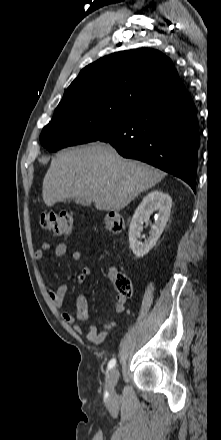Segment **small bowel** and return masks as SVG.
Here are the masks:
<instances>
[{
	"label": "small bowel",
	"mask_w": 221,
	"mask_h": 440,
	"mask_svg": "<svg viewBox=\"0 0 221 440\" xmlns=\"http://www.w3.org/2000/svg\"><path fill=\"white\" fill-rule=\"evenodd\" d=\"M51 249V244L45 242L42 247L35 251V260L40 262L43 260L45 252ZM55 255L59 258L63 257L67 252V244L60 242L55 247ZM72 259L75 262H81L83 260V254L79 250H75L72 253ZM90 275V269L88 267H82L78 277V284L84 283ZM68 292V286L66 284H60L55 290H49L48 295L52 301V304L57 309L64 307V299ZM126 298L117 296L113 304V310L115 313L120 314L125 309ZM62 320L70 325L76 332L82 331L81 323L86 322L89 318L88 301L85 295L79 294L76 297V313L73 315L67 311L61 313ZM118 320L113 319L101 326L89 325L87 327L86 338L89 342L98 345L102 343L109 335V333L117 326Z\"/></svg>",
	"instance_id": "1"
}]
</instances>
